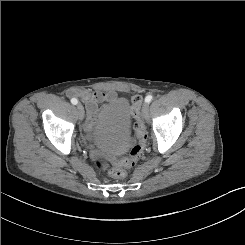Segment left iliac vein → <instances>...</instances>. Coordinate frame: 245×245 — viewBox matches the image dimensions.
<instances>
[{"instance_id":"4c4485c4","label":"left iliac vein","mask_w":245,"mask_h":245,"mask_svg":"<svg viewBox=\"0 0 245 245\" xmlns=\"http://www.w3.org/2000/svg\"><path fill=\"white\" fill-rule=\"evenodd\" d=\"M142 115L146 120L149 119V107L147 103H144L142 107Z\"/></svg>"}]
</instances>
